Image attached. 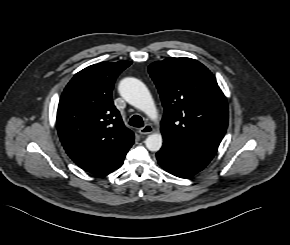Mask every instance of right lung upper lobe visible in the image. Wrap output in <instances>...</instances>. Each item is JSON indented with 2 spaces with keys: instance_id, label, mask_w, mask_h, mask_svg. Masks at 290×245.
<instances>
[{
  "instance_id": "obj_1",
  "label": "right lung upper lobe",
  "mask_w": 290,
  "mask_h": 245,
  "mask_svg": "<svg viewBox=\"0 0 290 245\" xmlns=\"http://www.w3.org/2000/svg\"><path fill=\"white\" fill-rule=\"evenodd\" d=\"M132 62H101L86 67L64 89L57 111V130L69 157L97 175L118 169L134 142L112 101L117 76Z\"/></svg>"
}]
</instances>
